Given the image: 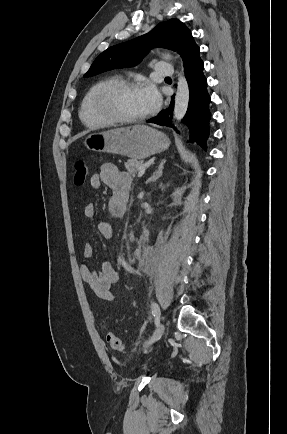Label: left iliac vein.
Returning <instances> with one entry per match:
<instances>
[{"instance_id": "1", "label": "left iliac vein", "mask_w": 287, "mask_h": 434, "mask_svg": "<svg viewBox=\"0 0 287 434\" xmlns=\"http://www.w3.org/2000/svg\"><path fill=\"white\" fill-rule=\"evenodd\" d=\"M165 330L164 323H160L157 328L155 329L153 335L150 337V339L145 343L143 350L146 352L156 341H158L161 336L163 335Z\"/></svg>"}]
</instances>
